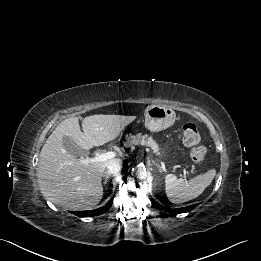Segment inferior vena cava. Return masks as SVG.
I'll use <instances>...</instances> for the list:
<instances>
[{"instance_id":"1","label":"inferior vena cava","mask_w":261,"mask_h":261,"mask_svg":"<svg viewBox=\"0 0 261 261\" xmlns=\"http://www.w3.org/2000/svg\"><path fill=\"white\" fill-rule=\"evenodd\" d=\"M122 169V160L121 159H115L109 162L106 166V172L109 174H116Z\"/></svg>"}]
</instances>
